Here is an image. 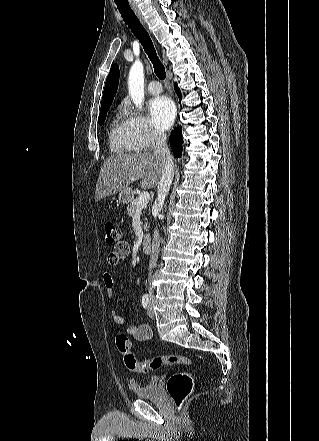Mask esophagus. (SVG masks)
Wrapping results in <instances>:
<instances>
[{"label": "esophagus", "mask_w": 319, "mask_h": 441, "mask_svg": "<svg viewBox=\"0 0 319 441\" xmlns=\"http://www.w3.org/2000/svg\"><path fill=\"white\" fill-rule=\"evenodd\" d=\"M132 9L135 12V14L137 15V17L140 19L142 24L145 25V21H144L143 15H142L141 11L139 10V8L137 6H135V5H133Z\"/></svg>", "instance_id": "esophagus-1"}]
</instances>
